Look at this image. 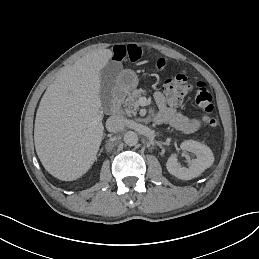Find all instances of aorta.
I'll use <instances>...</instances> for the list:
<instances>
[{"label": "aorta", "mask_w": 259, "mask_h": 259, "mask_svg": "<svg viewBox=\"0 0 259 259\" xmlns=\"http://www.w3.org/2000/svg\"><path fill=\"white\" fill-rule=\"evenodd\" d=\"M124 142L128 146H135L138 143V135L134 131H127L124 134Z\"/></svg>", "instance_id": "762f6f07"}]
</instances>
